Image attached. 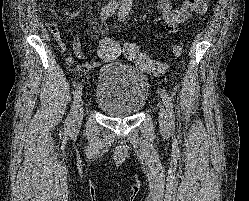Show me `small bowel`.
I'll return each mask as SVG.
<instances>
[{
	"label": "small bowel",
	"instance_id": "1",
	"mask_svg": "<svg viewBox=\"0 0 249 201\" xmlns=\"http://www.w3.org/2000/svg\"><path fill=\"white\" fill-rule=\"evenodd\" d=\"M210 0H184L180 7H174L175 0H157V8L161 12L165 29L170 33H177L181 29V25L188 21L194 14L202 15L207 10V5ZM46 27L49 30L52 37L58 43L61 52L66 50V44L63 41L60 31L55 23H46ZM72 51L76 58L85 59L86 55L82 50L81 41L78 36H75L72 40ZM66 64L68 66H74L75 58L68 56L66 58ZM100 65L97 60L89 59L84 64L78 65L74 68L75 73H81L84 71H90Z\"/></svg>",
	"mask_w": 249,
	"mask_h": 201
}]
</instances>
